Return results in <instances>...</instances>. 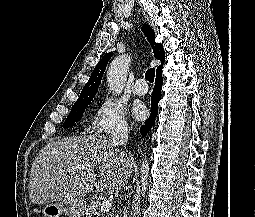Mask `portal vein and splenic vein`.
Here are the masks:
<instances>
[{
	"instance_id": "obj_1",
	"label": "portal vein and splenic vein",
	"mask_w": 255,
	"mask_h": 217,
	"mask_svg": "<svg viewBox=\"0 0 255 217\" xmlns=\"http://www.w3.org/2000/svg\"><path fill=\"white\" fill-rule=\"evenodd\" d=\"M80 169H85V167H79ZM68 171H70V169H68ZM112 207V201L111 200H104L101 204H100V212L101 213H105L108 212Z\"/></svg>"
}]
</instances>
